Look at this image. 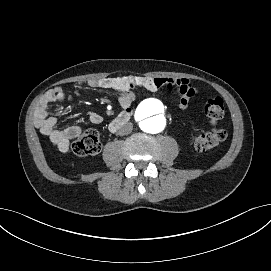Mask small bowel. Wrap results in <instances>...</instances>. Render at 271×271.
I'll return each mask as SVG.
<instances>
[{"mask_svg": "<svg viewBox=\"0 0 271 271\" xmlns=\"http://www.w3.org/2000/svg\"><path fill=\"white\" fill-rule=\"evenodd\" d=\"M90 88H101L112 90L117 93L121 106L127 110L131 109L135 100L136 89H143L148 92H156L165 88L170 92L178 94V106L186 109L190 100L197 94L198 89L185 78H147V77H107L92 79L87 82ZM65 91L60 87L46 91L39 99L35 113L34 124L39 131L46 136L49 141L61 151L69 148L70 141L77 138L82 129L79 126H70L64 129L57 127L58 117L49 111V106L53 103L62 104L65 100ZM87 118L93 124H100L102 116L96 112L86 113Z\"/></svg>", "mask_w": 271, "mask_h": 271, "instance_id": "1", "label": "small bowel"}]
</instances>
